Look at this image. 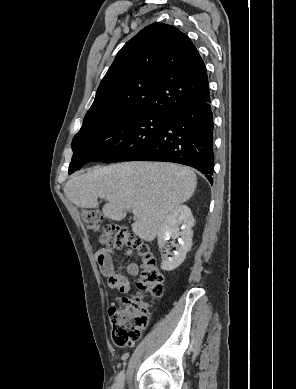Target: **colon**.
<instances>
[{
    "instance_id": "5ec220e1",
    "label": "colon",
    "mask_w": 296,
    "mask_h": 389,
    "mask_svg": "<svg viewBox=\"0 0 296 389\" xmlns=\"http://www.w3.org/2000/svg\"><path fill=\"white\" fill-rule=\"evenodd\" d=\"M81 218L89 230L101 231V242L115 249H133L141 260L142 271L137 282L139 294L122 298V307L109 309L112 340L118 347H129L141 336L148 324V305L144 294L158 298L164 291V277L149 246L139 237L120 225L103 224L100 212L82 208Z\"/></svg>"
}]
</instances>
